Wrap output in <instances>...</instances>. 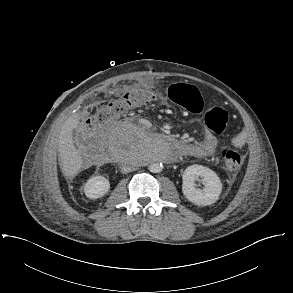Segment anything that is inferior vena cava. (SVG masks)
<instances>
[{"label": "inferior vena cava", "mask_w": 293, "mask_h": 293, "mask_svg": "<svg viewBox=\"0 0 293 293\" xmlns=\"http://www.w3.org/2000/svg\"><path fill=\"white\" fill-rule=\"evenodd\" d=\"M134 167L132 165H123L122 168H121V171L122 173H128V172H131L133 171Z\"/></svg>", "instance_id": "602c4592"}]
</instances>
